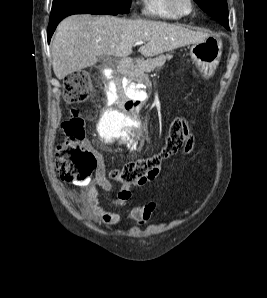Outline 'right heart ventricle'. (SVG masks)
Wrapping results in <instances>:
<instances>
[{
    "label": "right heart ventricle",
    "mask_w": 267,
    "mask_h": 298,
    "mask_svg": "<svg viewBox=\"0 0 267 298\" xmlns=\"http://www.w3.org/2000/svg\"><path fill=\"white\" fill-rule=\"evenodd\" d=\"M140 4L141 12L146 17L163 20L179 18L169 9L166 0H140Z\"/></svg>",
    "instance_id": "1"
}]
</instances>
